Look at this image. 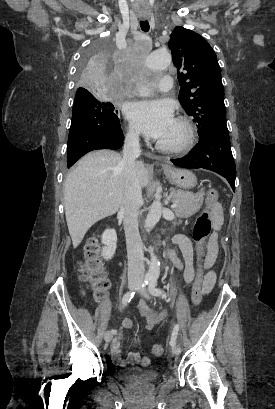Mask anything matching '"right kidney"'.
<instances>
[{"instance_id":"right-kidney-1","label":"right kidney","mask_w":275,"mask_h":409,"mask_svg":"<svg viewBox=\"0 0 275 409\" xmlns=\"http://www.w3.org/2000/svg\"><path fill=\"white\" fill-rule=\"evenodd\" d=\"M102 243L106 247H102L101 257L109 261L115 255L117 245V235L115 229H106L102 235Z\"/></svg>"}]
</instances>
